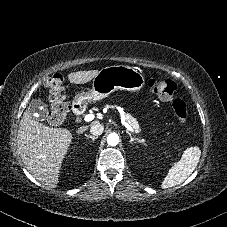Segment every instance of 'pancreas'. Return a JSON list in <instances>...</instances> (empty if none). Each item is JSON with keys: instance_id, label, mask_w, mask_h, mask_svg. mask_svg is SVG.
<instances>
[{"instance_id": "cf45deb5", "label": "pancreas", "mask_w": 227, "mask_h": 227, "mask_svg": "<svg viewBox=\"0 0 227 227\" xmlns=\"http://www.w3.org/2000/svg\"><path fill=\"white\" fill-rule=\"evenodd\" d=\"M107 107H110V106H107ZM125 119L128 122V124L134 128L135 131H137V132L141 131L139 123L130 114H125Z\"/></svg>"}]
</instances>
